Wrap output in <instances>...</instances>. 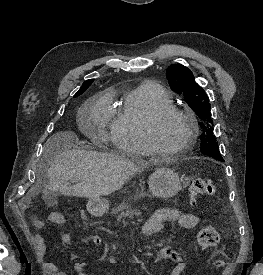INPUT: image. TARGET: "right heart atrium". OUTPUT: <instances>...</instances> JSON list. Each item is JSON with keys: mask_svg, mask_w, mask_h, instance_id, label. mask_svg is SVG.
I'll list each match as a JSON object with an SVG mask.
<instances>
[{"mask_svg": "<svg viewBox=\"0 0 263 275\" xmlns=\"http://www.w3.org/2000/svg\"><path fill=\"white\" fill-rule=\"evenodd\" d=\"M107 104V97H100L92 109L93 119L99 126V134L103 140L110 138V134L108 133L110 114L107 109Z\"/></svg>", "mask_w": 263, "mask_h": 275, "instance_id": "1", "label": "right heart atrium"}]
</instances>
